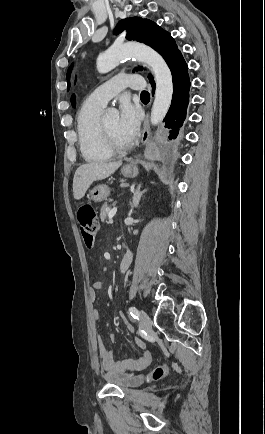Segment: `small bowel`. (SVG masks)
I'll list each match as a JSON object with an SVG mask.
<instances>
[{
  "label": "small bowel",
  "instance_id": "small-bowel-1",
  "mask_svg": "<svg viewBox=\"0 0 265 434\" xmlns=\"http://www.w3.org/2000/svg\"><path fill=\"white\" fill-rule=\"evenodd\" d=\"M102 289V283L100 281H95L92 286L89 289V297L91 301H94L96 299L97 291ZM118 315H120V318H125L126 314L123 313V310H118ZM92 319L95 322H98L100 320V313L97 309H94L91 313ZM126 323V322H125ZM126 327L129 332H133V328L131 325L126 323ZM110 339L112 341L116 340V336L114 334H110ZM133 343L139 350V355L134 358H127L122 361L116 360V352L113 349H108L105 346V343L103 341V338L101 335H97L95 339V347L97 356L100 360L101 367L108 373L107 380L110 383H121L122 385H137L143 381V378L139 375H135L132 373H126L125 368H135V369H142L146 367L151 359H152V353L151 351L146 347L145 343L136 338H132Z\"/></svg>",
  "mask_w": 265,
  "mask_h": 434
}]
</instances>
